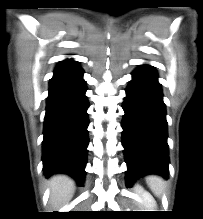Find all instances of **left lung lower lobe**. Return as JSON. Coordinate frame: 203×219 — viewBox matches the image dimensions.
<instances>
[{
	"label": "left lung lower lobe",
	"instance_id": "left-lung-lower-lobe-1",
	"mask_svg": "<svg viewBox=\"0 0 203 219\" xmlns=\"http://www.w3.org/2000/svg\"><path fill=\"white\" fill-rule=\"evenodd\" d=\"M132 76L121 124L128 187L142 176L167 178L169 173L166 110L157 73L150 65H140Z\"/></svg>",
	"mask_w": 203,
	"mask_h": 219
}]
</instances>
